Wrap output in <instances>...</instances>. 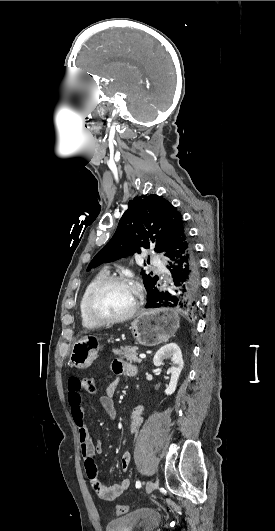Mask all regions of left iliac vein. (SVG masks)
Instances as JSON below:
<instances>
[{
  "label": "left iliac vein",
  "mask_w": 275,
  "mask_h": 531,
  "mask_svg": "<svg viewBox=\"0 0 275 531\" xmlns=\"http://www.w3.org/2000/svg\"><path fill=\"white\" fill-rule=\"evenodd\" d=\"M157 487L156 483H154L153 481H148L146 483V492L148 494L152 493L153 490Z\"/></svg>",
  "instance_id": "1"
}]
</instances>
